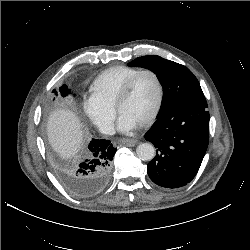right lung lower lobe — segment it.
Masks as SVG:
<instances>
[{"instance_id":"98d812e1","label":"right lung lower lobe","mask_w":250,"mask_h":250,"mask_svg":"<svg viewBox=\"0 0 250 250\" xmlns=\"http://www.w3.org/2000/svg\"><path fill=\"white\" fill-rule=\"evenodd\" d=\"M115 153L116 148L110 140L92 139L83 161L66 173L71 191L80 197L100 193L108 182Z\"/></svg>"}]
</instances>
